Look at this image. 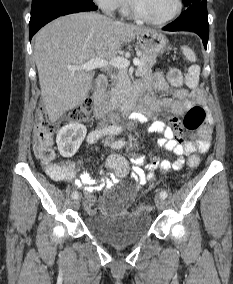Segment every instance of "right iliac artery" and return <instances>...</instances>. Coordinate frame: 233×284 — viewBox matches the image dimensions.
<instances>
[{
    "mask_svg": "<svg viewBox=\"0 0 233 284\" xmlns=\"http://www.w3.org/2000/svg\"><path fill=\"white\" fill-rule=\"evenodd\" d=\"M117 131L118 128L114 126L105 127L103 129H96L89 133V135L87 136V142L93 144L102 136L116 134ZM71 196L73 199H76L79 196V194L77 191H73Z\"/></svg>",
    "mask_w": 233,
    "mask_h": 284,
    "instance_id": "82829eb1",
    "label": "right iliac artery"
}]
</instances>
